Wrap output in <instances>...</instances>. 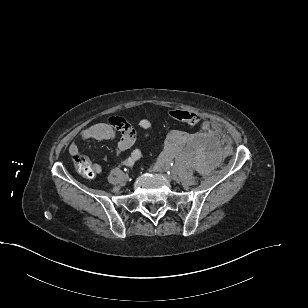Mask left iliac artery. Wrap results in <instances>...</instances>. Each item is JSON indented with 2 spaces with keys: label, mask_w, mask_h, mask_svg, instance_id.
Wrapping results in <instances>:
<instances>
[{
  "label": "left iliac artery",
  "mask_w": 308,
  "mask_h": 308,
  "mask_svg": "<svg viewBox=\"0 0 308 308\" xmlns=\"http://www.w3.org/2000/svg\"><path fill=\"white\" fill-rule=\"evenodd\" d=\"M170 165H171L172 168L174 167V164H173V163H171ZM166 172H167L169 175L172 173V172H170L169 170L166 171Z\"/></svg>",
  "instance_id": "left-iliac-artery-1"
}]
</instances>
